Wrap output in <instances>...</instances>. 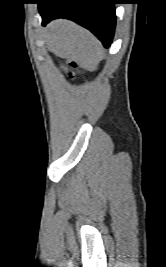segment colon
I'll use <instances>...</instances> for the list:
<instances>
[{"label":"colon","instance_id":"colon-1","mask_svg":"<svg viewBox=\"0 0 166 267\" xmlns=\"http://www.w3.org/2000/svg\"><path fill=\"white\" fill-rule=\"evenodd\" d=\"M78 67H79V65L75 61H70L68 63L67 71H68V75L70 78L75 79L78 76V74H79Z\"/></svg>","mask_w":166,"mask_h":267}]
</instances>
